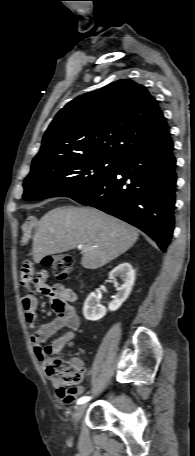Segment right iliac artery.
I'll return each instance as SVG.
<instances>
[{"label": "right iliac artery", "instance_id": "1", "mask_svg": "<svg viewBox=\"0 0 195 456\" xmlns=\"http://www.w3.org/2000/svg\"><path fill=\"white\" fill-rule=\"evenodd\" d=\"M90 399H91V397H89V396H83L78 399L77 404L78 405L84 404V403L88 402Z\"/></svg>", "mask_w": 195, "mask_h": 456}]
</instances>
